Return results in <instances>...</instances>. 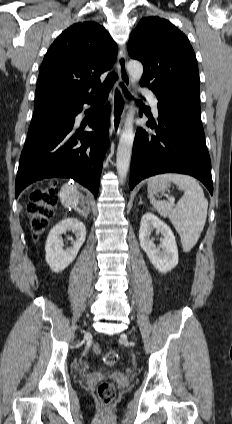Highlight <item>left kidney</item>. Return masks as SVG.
<instances>
[{"instance_id":"5707ae66","label":"left kidney","mask_w":232,"mask_h":424,"mask_svg":"<svg viewBox=\"0 0 232 424\" xmlns=\"http://www.w3.org/2000/svg\"><path fill=\"white\" fill-rule=\"evenodd\" d=\"M154 230L163 235L161 244L158 247L150 239V235ZM139 241L150 262L159 272L167 273L178 264V249L175 236L170 227L154 214L146 213L143 215L140 223Z\"/></svg>"}]
</instances>
